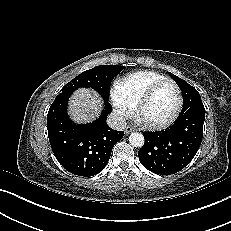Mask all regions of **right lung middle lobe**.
I'll return each instance as SVG.
<instances>
[{
	"label": "right lung middle lobe",
	"instance_id": "1",
	"mask_svg": "<svg viewBox=\"0 0 231 231\" xmlns=\"http://www.w3.org/2000/svg\"><path fill=\"white\" fill-rule=\"evenodd\" d=\"M124 68V66L117 65L96 66L75 77L61 90L74 91L79 87L92 88L102 96L104 102H108L110 84Z\"/></svg>",
	"mask_w": 231,
	"mask_h": 231
}]
</instances>
